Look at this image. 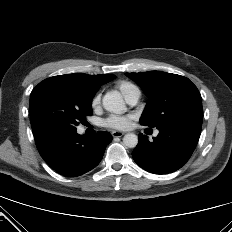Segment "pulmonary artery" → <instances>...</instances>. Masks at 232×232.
I'll return each instance as SVG.
<instances>
[{"instance_id": "pulmonary-artery-1", "label": "pulmonary artery", "mask_w": 232, "mask_h": 232, "mask_svg": "<svg viewBox=\"0 0 232 232\" xmlns=\"http://www.w3.org/2000/svg\"><path fill=\"white\" fill-rule=\"evenodd\" d=\"M140 94L133 96L132 98L128 99L127 102L131 105H135L139 100ZM158 134V131H155V135Z\"/></svg>"}]
</instances>
